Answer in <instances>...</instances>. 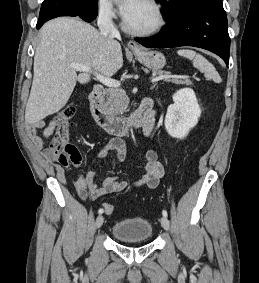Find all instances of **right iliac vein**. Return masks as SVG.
Listing matches in <instances>:
<instances>
[{
    "instance_id": "63e3f726",
    "label": "right iliac vein",
    "mask_w": 259,
    "mask_h": 283,
    "mask_svg": "<svg viewBox=\"0 0 259 283\" xmlns=\"http://www.w3.org/2000/svg\"><path fill=\"white\" fill-rule=\"evenodd\" d=\"M103 222H104V217H103V215H99V216L96 218L95 228H96V229H99V228L103 225Z\"/></svg>"
}]
</instances>
